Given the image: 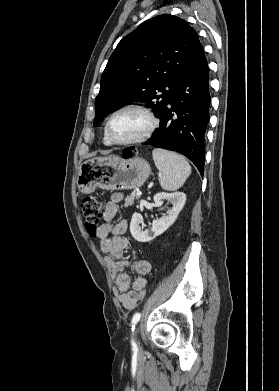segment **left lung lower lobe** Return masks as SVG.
<instances>
[{
  "label": "left lung lower lobe",
  "instance_id": "left-lung-lower-lobe-1",
  "mask_svg": "<svg viewBox=\"0 0 279 391\" xmlns=\"http://www.w3.org/2000/svg\"><path fill=\"white\" fill-rule=\"evenodd\" d=\"M210 100L209 69L202 51L192 69L169 97L159 117L160 127L144 144L185 155L203 175L204 137L209 122Z\"/></svg>",
  "mask_w": 279,
  "mask_h": 391
}]
</instances>
